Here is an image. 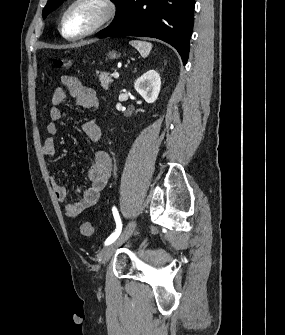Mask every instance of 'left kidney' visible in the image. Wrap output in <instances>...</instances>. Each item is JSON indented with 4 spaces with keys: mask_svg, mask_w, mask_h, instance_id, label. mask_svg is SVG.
Listing matches in <instances>:
<instances>
[{
    "mask_svg": "<svg viewBox=\"0 0 285 335\" xmlns=\"http://www.w3.org/2000/svg\"><path fill=\"white\" fill-rule=\"evenodd\" d=\"M134 88L147 104H153V102H156L161 88V80L158 72L149 70V72H146V74H143V76H140L136 80Z\"/></svg>",
    "mask_w": 285,
    "mask_h": 335,
    "instance_id": "1",
    "label": "left kidney"
}]
</instances>
